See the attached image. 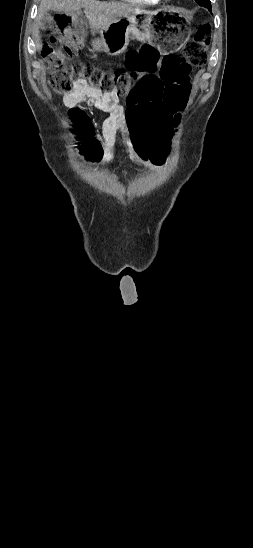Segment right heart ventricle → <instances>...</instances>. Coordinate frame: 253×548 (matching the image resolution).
<instances>
[{
  "label": "right heart ventricle",
  "instance_id": "right-heart-ventricle-1",
  "mask_svg": "<svg viewBox=\"0 0 253 548\" xmlns=\"http://www.w3.org/2000/svg\"><path fill=\"white\" fill-rule=\"evenodd\" d=\"M125 2L139 5H156L160 0H122Z\"/></svg>",
  "mask_w": 253,
  "mask_h": 548
}]
</instances>
